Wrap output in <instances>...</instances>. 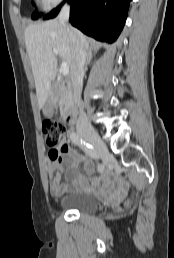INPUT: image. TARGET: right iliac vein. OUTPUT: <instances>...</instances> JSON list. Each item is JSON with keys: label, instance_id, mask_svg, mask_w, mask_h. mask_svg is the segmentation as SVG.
<instances>
[{"label": "right iliac vein", "instance_id": "right-iliac-vein-1", "mask_svg": "<svg viewBox=\"0 0 174 258\" xmlns=\"http://www.w3.org/2000/svg\"><path fill=\"white\" fill-rule=\"evenodd\" d=\"M83 137L86 141L91 143L95 150L98 152L100 157L102 158L103 162L107 164L108 162V148L106 144L102 141L100 136L95 130H90L83 134Z\"/></svg>", "mask_w": 174, "mask_h": 258}]
</instances>
